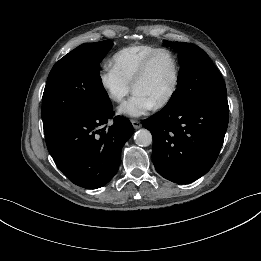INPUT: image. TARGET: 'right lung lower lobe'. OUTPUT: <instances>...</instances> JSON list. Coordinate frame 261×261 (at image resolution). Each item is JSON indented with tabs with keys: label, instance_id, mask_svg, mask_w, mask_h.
Returning <instances> with one entry per match:
<instances>
[{
	"label": "right lung lower lobe",
	"instance_id": "98d812e1",
	"mask_svg": "<svg viewBox=\"0 0 261 261\" xmlns=\"http://www.w3.org/2000/svg\"><path fill=\"white\" fill-rule=\"evenodd\" d=\"M112 106L102 113L73 120L45 135L50 155L57 167L74 184L96 189L108 183L117 173L123 145L133 134L128 119L113 117Z\"/></svg>",
	"mask_w": 261,
	"mask_h": 261
}]
</instances>
